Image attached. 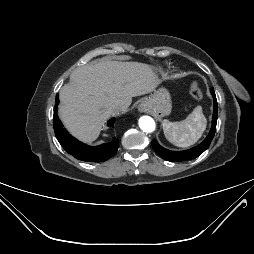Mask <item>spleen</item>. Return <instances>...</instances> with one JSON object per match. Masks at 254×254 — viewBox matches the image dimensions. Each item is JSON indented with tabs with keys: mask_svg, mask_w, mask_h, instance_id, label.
I'll list each match as a JSON object with an SVG mask.
<instances>
[{
	"mask_svg": "<svg viewBox=\"0 0 254 254\" xmlns=\"http://www.w3.org/2000/svg\"><path fill=\"white\" fill-rule=\"evenodd\" d=\"M207 120L201 106H197L180 122L163 120L162 126L165 137L172 144L186 148L197 142L206 129Z\"/></svg>",
	"mask_w": 254,
	"mask_h": 254,
	"instance_id": "spleen-1",
	"label": "spleen"
}]
</instances>
